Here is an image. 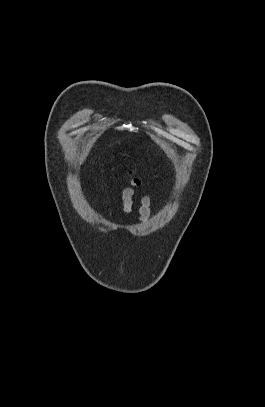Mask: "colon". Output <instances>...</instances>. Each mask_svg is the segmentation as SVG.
<instances>
[{
    "instance_id": "colon-1",
    "label": "colon",
    "mask_w": 265,
    "mask_h": 407,
    "mask_svg": "<svg viewBox=\"0 0 265 407\" xmlns=\"http://www.w3.org/2000/svg\"><path fill=\"white\" fill-rule=\"evenodd\" d=\"M130 175H131V181H130L131 184H132L133 186L138 185V184L140 183L139 178L136 177V176H134L132 172L130 173Z\"/></svg>"
}]
</instances>
